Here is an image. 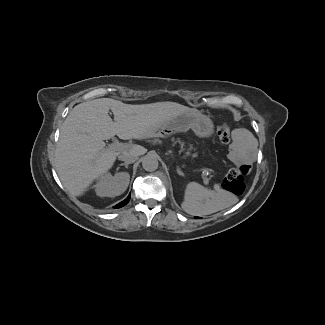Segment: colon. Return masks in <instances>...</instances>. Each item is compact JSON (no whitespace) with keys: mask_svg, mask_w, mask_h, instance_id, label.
<instances>
[{"mask_svg":"<svg viewBox=\"0 0 325 325\" xmlns=\"http://www.w3.org/2000/svg\"><path fill=\"white\" fill-rule=\"evenodd\" d=\"M217 135L222 144L227 145L230 142V130L227 125H219L217 127ZM248 172L249 168L246 165L231 169L222 181L223 189L236 195L242 194L245 190L244 176Z\"/></svg>","mask_w":325,"mask_h":325,"instance_id":"colon-1","label":"colon"}]
</instances>
